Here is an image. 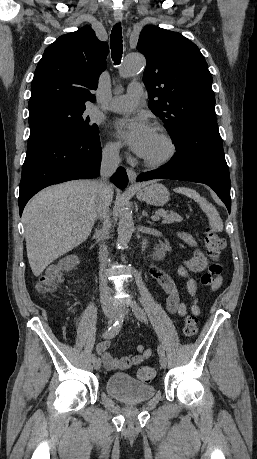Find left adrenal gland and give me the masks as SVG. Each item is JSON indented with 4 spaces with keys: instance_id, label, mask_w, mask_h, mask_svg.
I'll list each match as a JSON object with an SVG mask.
<instances>
[{
    "instance_id": "obj_1",
    "label": "left adrenal gland",
    "mask_w": 257,
    "mask_h": 459,
    "mask_svg": "<svg viewBox=\"0 0 257 459\" xmlns=\"http://www.w3.org/2000/svg\"><path fill=\"white\" fill-rule=\"evenodd\" d=\"M143 213H144V212H143ZM147 222H148L149 224L153 225V222H151V221H149V220H147Z\"/></svg>"
}]
</instances>
